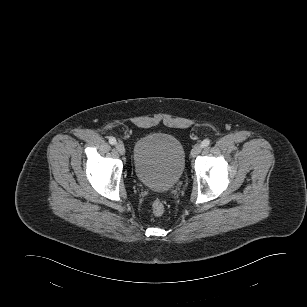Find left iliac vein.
I'll return each mask as SVG.
<instances>
[{
  "label": "left iliac vein",
  "instance_id": "left-iliac-vein-1",
  "mask_svg": "<svg viewBox=\"0 0 307 307\" xmlns=\"http://www.w3.org/2000/svg\"><path fill=\"white\" fill-rule=\"evenodd\" d=\"M202 151V146L200 144H196L191 150V156L196 157Z\"/></svg>",
  "mask_w": 307,
  "mask_h": 307
}]
</instances>
